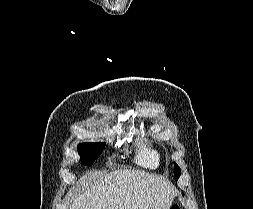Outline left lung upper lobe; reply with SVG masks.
Here are the masks:
<instances>
[{"mask_svg": "<svg viewBox=\"0 0 253 209\" xmlns=\"http://www.w3.org/2000/svg\"><path fill=\"white\" fill-rule=\"evenodd\" d=\"M175 172H174V178L178 179L181 174V169L177 164H174Z\"/></svg>", "mask_w": 253, "mask_h": 209, "instance_id": "5c2ea615", "label": "left lung upper lobe"}]
</instances>
